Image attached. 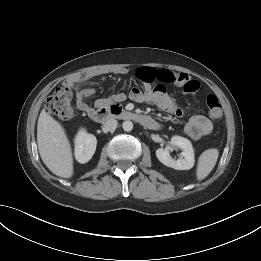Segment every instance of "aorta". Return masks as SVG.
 Returning <instances> with one entry per match:
<instances>
[{
	"label": "aorta",
	"instance_id": "aorta-1",
	"mask_svg": "<svg viewBox=\"0 0 261 261\" xmlns=\"http://www.w3.org/2000/svg\"><path fill=\"white\" fill-rule=\"evenodd\" d=\"M122 127L124 131L130 132L133 129V123L130 120H126L123 122Z\"/></svg>",
	"mask_w": 261,
	"mask_h": 261
}]
</instances>
